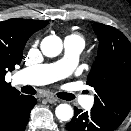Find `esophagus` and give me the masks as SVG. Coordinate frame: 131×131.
<instances>
[{
	"label": "esophagus",
	"instance_id": "1",
	"mask_svg": "<svg viewBox=\"0 0 131 131\" xmlns=\"http://www.w3.org/2000/svg\"><path fill=\"white\" fill-rule=\"evenodd\" d=\"M46 99L49 103H55V102H59L60 100L52 95H47Z\"/></svg>",
	"mask_w": 131,
	"mask_h": 131
}]
</instances>
